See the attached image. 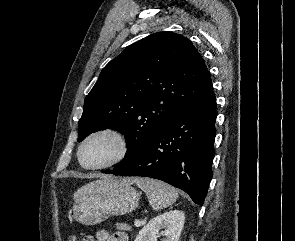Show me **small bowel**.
Segmentation results:
<instances>
[{
  "label": "small bowel",
  "mask_w": 295,
  "mask_h": 241,
  "mask_svg": "<svg viewBox=\"0 0 295 241\" xmlns=\"http://www.w3.org/2000/svg\"><path fill=\"white\" fill-rule=\"evenodd\" d=\"M84 241H127L122 233L108 234L106 231H99L95 237L87 236Z\"/></svg>",
  "instance_id": "c3829d8e"
}]
</instances>
